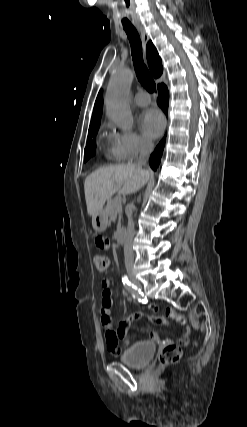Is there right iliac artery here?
<instances>
[{"mask_svg":"<svg viewBox=\"0 0 247 427\" xmlns=\"http://www.w3.org/2000/svg\"><path fill=\"white\" fill-rule=\"evenodd\" d=\"M122 282L126 290L139 302L146 303L147 298L144 296V294L141 292L140 289H138L134 284H132L127 276H124L122 278Z\"/></svg>","mask_w":247,"mask_h":427,"instance_id":"1","label":"right iliac artery"}]
</instances>
